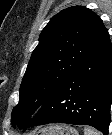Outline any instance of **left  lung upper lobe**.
<instances>
[{"label": "left lung upper lobe", "instance_id": "1", "mask_svg": "<svg viewBox=\"0 0 112 135\" xmlns=\"http://www.w3.org/2000/svg\"><path fill=\"white\" fill-rule=\"evenodd\" d=\"M106 33L100 17L83 6L52 17L22 79L19 103L11 116L13 127L23 128L29 122Z\"/></svg>", "mask_w": 112, "mask_h": 135}]
</instances>
